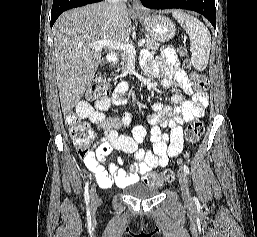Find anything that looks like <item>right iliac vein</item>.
Returning a JSON list of instances; mask_svg holds the SVG:
<instances>
[{
	"instance_id": "63e3f726",
	"label": "right iliac vein",
	"mask_w": 257,
	"mask_h": 237,
	"mask_svg": "<svg viewBox=\"0 0 257 237\" xmlns=\"http://www.w3.org/2000/svg\"><path fill=\"white\" fill-rule=\"evenodd\" d=\"M91 200H92V205L93 206H95L99 203V197L97 195L95 186H93V188L91 190Z\"/></svg>"
}]
</instances>
